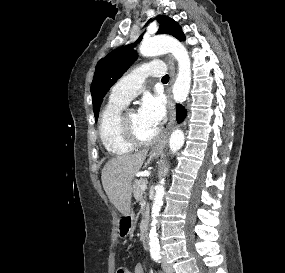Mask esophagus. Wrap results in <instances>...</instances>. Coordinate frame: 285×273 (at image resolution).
Listing matches in <instances>:
<instances>
[{
    "label": "esophagus",
    "mask_w": 285,
    "mask_h": 273,
    "mask_svg": "<svg viewBox=\"0 0 285 273\" xmlns=\"http://www.w3.org/2000/svg\"><path fill=\"white\" fill-rule=\"evenodd\" d=\"M167 63L170 69V76H171V84L173 83L174 79H175V67H174V63L173 60L169 57L167 59ZM168 109H169V115H170V119H169V123H168V130H171L174 126V122H175V118H176V112H175V106L172 100V96H171V87H169L168 89ZM168 142V135L164 136V138H162L153 148H152V153H158L161 152L164 147L166 146Z\"/></svg>",
    "instance_id": "34e87169"
}]
</instances>
